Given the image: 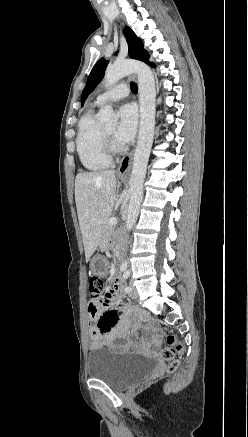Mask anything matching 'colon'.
Listing matches in <instances>:
<instances>
[{"label":"colon","mask_w":248,"mask_h":437,"mask_svg":"<svg viewBox=\"0 0 248 437\" xmlns=\"http://www.w3.org/2000/svg\"><path fill=\"white\" fill-rule=\"evenodd\" d=\"M110 279L106 276L93 275L89 279L90 296L96 300L109 293ZM166 346L161 349L162 358L168 363L167 371L174 372L178 369L180 361L178 355L183 353L184 346L179 339L172 334L165 337Z\"/></svg>","instance_id":"obj_1"}]
</instances>
